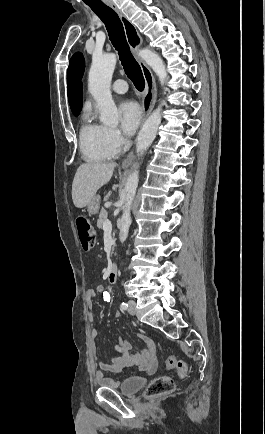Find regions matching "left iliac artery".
Returning <instances> with one entry per match:
<instances>
[{
	"instance_id": "1",
	"label": "left iliac artery",
	"mask_w": 265,
	"mask_h": 434,
	"mask_svg": "<svg viewBox=\"0 0 265 434\" xmlns=\"http://www.w3.org/2000/svg\"><path fill=\"white\" fill-rule=\"evenodd\" d=\"M121 308L124 309V310H126L128 308V304L125 303V302H122L121 303Z\"/></svg>"
}]
</instances>
